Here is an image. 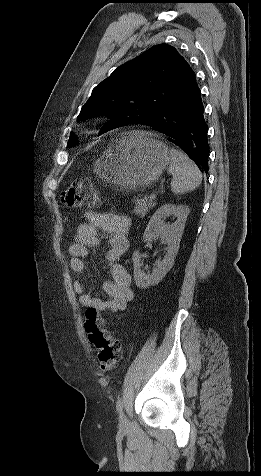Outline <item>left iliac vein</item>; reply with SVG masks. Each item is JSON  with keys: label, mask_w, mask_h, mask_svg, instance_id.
Masks as SVG:
<instances>
[{"label": "left iliac vein", "mask_w": 261, "mask_h": 476, "mask_svg": "<svg viewBox=\"0 0 261 476\" xmlns=\"http://www.w3.org/2000/svg\"><path fill=\"white\" fill-rule=\"evenodd\" d=\"M119 421H120V425L122 427H126L128 425V419H127L126 415L124 414V412L120 413Z\"/></svg>", "instance_id": "left-iliac-vein-1"}]
</instances>
